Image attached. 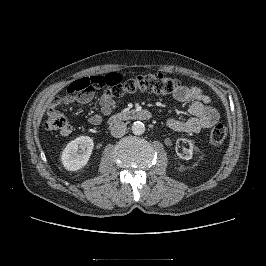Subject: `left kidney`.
I'll list each match as a JSON object with an SVG mask.
<instances>
[{"mask_svg":"<svg viewBox=\"0 0 266 266\" xmlns=\"http://www.w3.org/2000/svg\"><path fill=\"white\" fill-rule=\"evenodd\" d=\"M187 141L190 145V148L188 149V153L184 156L180 155L179 154V157L184 159V160H190L192 158V155H193V144L191 143V141L187 140V139H178L177 142L179 141Z\"/></svg>","mask_w":266,"mask_h":266,"instance_id":"1","label":"left kidney"}]
</instances>
